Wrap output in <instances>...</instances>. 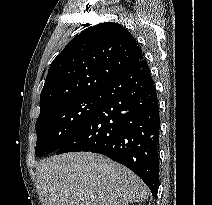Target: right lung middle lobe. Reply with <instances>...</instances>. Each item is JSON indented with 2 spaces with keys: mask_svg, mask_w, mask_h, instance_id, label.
I'll return each instance as SVG.
<instances>
[{
  "mask_svg": "<svg viewBox=\"0 0 212 205\" xmlns=\"http://www.w3.org/2000/svg\"><path fill=\"white\" fill-rule=\"evenodd\" d=\"M101 102V92L84 94L63 102L36 122L38 157L56 152L91 116Z\"/></svg>",
  "mask_w": 212,
  "mask_h": 205,
  "instance_id": "right-lung-middle-lobe-1",
  "label": "right lung middle lobe"
}]
</instances>
